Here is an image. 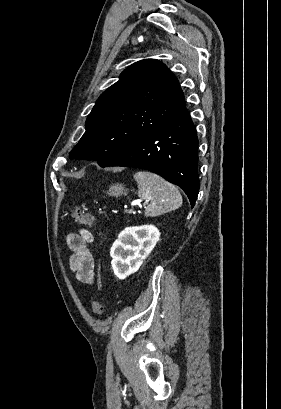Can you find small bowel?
<instances>
[{"label":"small bowel","instance_id":"obj_1","mask_svg":"<svg viewBox=\"0 0 281 409\" xmlns=\"http://www.w3.org/2000/svg\"><path fill=\"white\" fill-rule=\"evenodd\" d=\"M93 241V235L85 229L79 233H71L67 237L71 250L70 270L85 285H91L95 281V259L89 249Z\"/></svg>","mask_w":281,"mask_h":409}]
</instances>
